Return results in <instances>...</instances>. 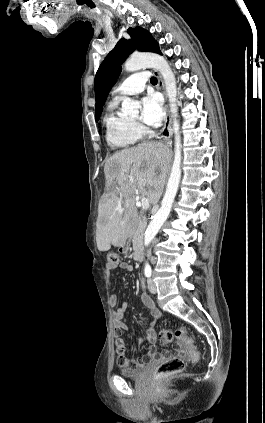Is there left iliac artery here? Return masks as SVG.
Segmentation results:
<instances>
[{
  "label": "left iliac artery",
  "mask_w": 265,
  "mask_h": 423,
  "mask_svg": "<svg viewBox=\"0 0 265 423\" xmlns=\"http://www.w3.org/2000/svg\"><path fill=\"white\" fill-rule=\"evenodd\" d=\"M145 276L146 277H150L151 276V267H150V265L148 263L145 265Z\"/></svg>",
  "instance_id": "44dca946"
}]
</instances>
